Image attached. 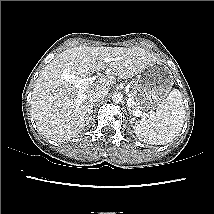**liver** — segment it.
I'll use <instances>...</instances> for the list:
<instances>
[{"label": "liver", "mask_w": 214, "mask_h": 214, "mask_svg": "<svg viewBox=\"0 0 214 214\" xmlns=\"http://www.w3.org/2000/svg\"><path fill=\"white\" fill-rule=\"evenodd\" d=\"M106 58L111 61L106 62ZM156 61V55L140 47L79 46L63 51L43 68L33 89L31 112L38 130L56 142L76 137L92 118L90 96L95 90L108 89L116 81L115 76L135 77ZM101 70L107 75L83 90L62 79L65 71L86 78Z\"/></svg>", "instance_id": "6515ba94"}]
</instances>
